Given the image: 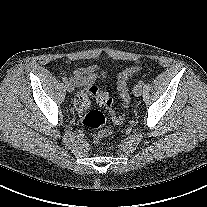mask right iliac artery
Masks as SVG:
<instances>
[{
    "instance_id": "1",
    "label": "right iliac artery",
    "mask_w": 207,
    "mask_h": 207,
    "mask_svg": "<svg viewBox=\"0 0 207 207\" xmlns=\"http://www.w3.org/2000/svg\"><path fill=\"white\" fill-rule=\"evenodd\" d=\"M62 81H63L64 83H67V82H68L67 77H63V78H62Z\"/></svg>"
}]
</instances>
